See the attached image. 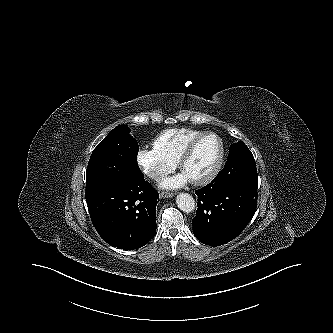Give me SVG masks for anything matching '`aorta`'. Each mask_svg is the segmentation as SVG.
<instances>
[{
  "label": "aorta",
  "mask_w": 333,
  "mask_h": 333,
  "mask_svg": "<svg viewBox=\"0 0 333 333\" xmlns=\"http://www.w3.org/2000/svg\"><path fill=\"white\" fill-rule=\"evenodd\" d=\"M178 208L186 213H190L195 209V200L188 193H180L176 197Z\"/></svg>",
  "instance_id": "1"
}]
</instances>
